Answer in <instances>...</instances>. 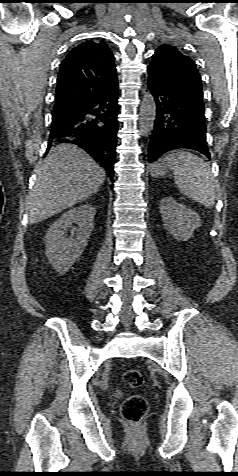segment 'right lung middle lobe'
<instances>
[{
    "label": "right lung middle lobe",
    "instance_id": "obj_1",
    "mask_svg": "<svg viewBox=\"0 0 238 476\" xmlns=\"http://www.w3.org/2000/svg\"><path fill=\"white\" fill-rule=\"evenodd\" d=\"M74 112V109L53 110L52 120L64 119Z\"/></svg>",
    "mask_w": 238,
    "mask_h": 476
}]
</instances>
